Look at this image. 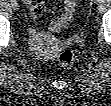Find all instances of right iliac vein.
<instances>
[{"label": "right iliac vein", "instance_id": "63e3f726", "mask_svg": "<svg viewBox=\"0 0 111 106\" xmlns=\"http://www.w3.org/2000/svg\"><path fill=\"white\" fill-rule=\"evenodd\" d=\"M11 5H12V8H13L14 10H17L18 7H19V5H18V3H17L16 1H13V2L11 3Z\"/></svg>", "mask_w": 111, "mask_h": 106}]
</instances>
